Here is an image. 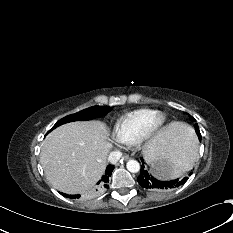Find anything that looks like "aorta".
I'll return each instance as SVG.
<instances>
[{"label":"aorta","instance_id":"1","mask_svg":"<svg viewBox=\"0 0 233 233\" xmlns=\"http://www.w3.org/2000/svg\"><path fill=\"white\" fill-rule=\"evenodd\" d=\"M126 167L128 169L129 172L131 173H137L140 170V164L138 163V161L131 159L126 163Z\"/></svg>","mask_w":233,"mask_h":233}]
</instances>
